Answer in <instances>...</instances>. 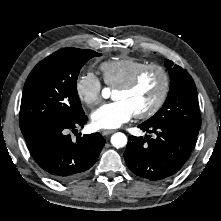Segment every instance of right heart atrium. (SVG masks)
I'll return each mask as SVG.
<instances>
[{
    "mask_svg": "<svg viewBox=\"0 0 221 221\" xmlns=\"http://www.w3.org/2000/svg\"><path fill=\"white\" fill-rule=\"evenodd\" d=\"M78 98L88 106L98 104L102 98L103 86L100 78L93 72L87 71L79 75L75 82Z\"/></svg>",
    "mask_w": 221,
    "mask_h": 221,
    "instance_id": "right-heart-atrium-1",
    "label": "right heart atrium"
}]
</instances>
